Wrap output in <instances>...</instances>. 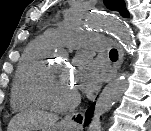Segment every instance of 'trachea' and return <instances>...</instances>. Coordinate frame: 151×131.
<instances>
[{
    "instance_id": "obj_1",
    "label": "trachea",
    "mask_w": 151,
    "mask_h": 131,
    "mask_svg": "<svg viewBox=\"0 0 151 131\" xmlns=\"http://www.w3.org/2000/svg\"><path fill=\"white\" fill-rule=\"evenodd\" d=\"M109 56L112 58H118V52L116 49H111L109 52Z\"/></svg>"
}]
</instances>
